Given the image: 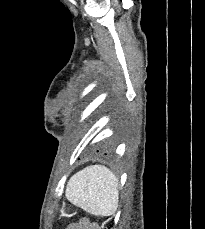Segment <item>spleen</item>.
I'll list each match as a JSON object with an SVG mask.
<instances>
[{
	"label": "spleen",
	"mask_w": 205,
	"mask_h": 229,
	"mask_svg": "<svg viewBox=\"0 0 205 229\" xmlns=\"http://www.w3.org/2000/svg\"><path fill=\"white\" fill-rule=\"evenodd\" d=\"M66 198L90 214L111 216L119 203L118 179L105 166H88L70 178Z\"/></svg>",
	"instance_id": "obj_1"
}]
</instances>
